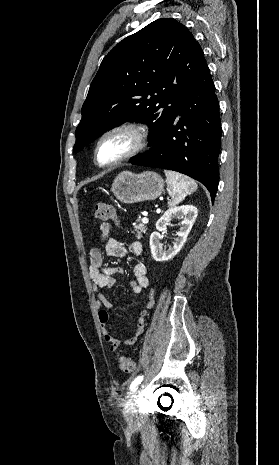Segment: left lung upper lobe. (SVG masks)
<instances>
[{
	"label": "left lung upper lobe",
	"mask_w": 279,
	"mask_h": 465,
	"mask_svg": "<svg viewBox=\"0 0 279 465\" xmlns=\"http://www.w3.org/2000/svg\"><path fill=\"white\" fill-rule=\"evenodd\" d=\"M203 51L175 19L155 20L118 43L103 59L81 109L74 152L125 121L149 126L154 145L177 114Z\"/></svg>",
	"instance_id": "5c2ea615"
}]
</instances>
